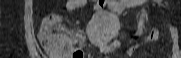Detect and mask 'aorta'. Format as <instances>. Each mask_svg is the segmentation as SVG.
I'll list each match as a JSON object with an SVG mask.
<instances>
[{
  "mask_svg": "<svg viewBox=\"0 0 181 58\" xmlns=\"http://www.w3.org/2000/svg\"><path fill=\"white\" fill-rule=\"evenodd\" d=\"M147 17V13H146V10L143 8L141 10V14H140V18H139V21H138V26H137V30L139 32H142L143 31V28H144V24H145V18Z\"/></svg>",
  "mask_w": 181,
  "mask_h": 58,
  "instance_id": "762f6f07",
  "label": "aorta"
}]
</instances>
